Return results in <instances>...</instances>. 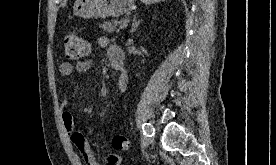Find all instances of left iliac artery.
<instances>
[{
    "label": "left iliac artery",
    "instance_id": "obj_1",
    "mask_svg": "<svg viewBox=\"0 0 276 165\" xmlns=\"http://www.w3.org/2000/svg\"><path fill=\"white\" fill-rule=\"evenodd\" d=\"M143 134H144V144L148 143L149 138L153 135L154 128L150 123H145L142 126Z\"/></svg>",
    "mask_w": 276,
    "mask_h": 165
}]
</instances>
